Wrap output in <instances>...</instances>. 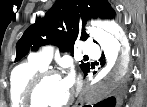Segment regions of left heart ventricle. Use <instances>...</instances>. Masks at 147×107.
I'll use <instances>...</instances> for the list:
<instances>
[{
    "label": "left heart ventricle",
    "instance_id": "obj_1",
    "mask_svg": "<svg viewBox=\"0 0 147 107\" xmlns=\"http://www.w3.org/2000/svg\"><path fill=\"white\" fill-rule=\"evenodd\" d=\"M70 96V90L66 87L63 78L52 77L47 79L37 93V101L41 106H58L64 103Z\"/></svg>",
    "mask_w": 147,
    "mask_h": 107
}]
</instances>
